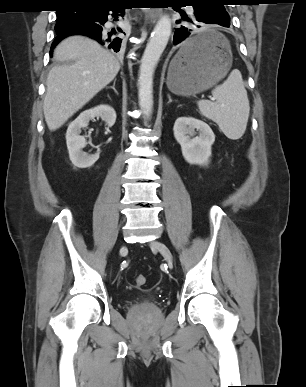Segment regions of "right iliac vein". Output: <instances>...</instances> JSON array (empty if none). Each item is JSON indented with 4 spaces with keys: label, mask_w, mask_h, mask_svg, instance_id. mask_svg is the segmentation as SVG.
<instances>
[{
    "label": "right iliac vein",
    "mask_w": 306,
    "mask_h": 387,
    "mask_svg": "<svg viewBox=\"0 0 306 387\" xmlns=\"http://www.w3.org/2000/svg\"><path fill=\"white\" fill-rule=\"evenodd\" d=\"M124 250H125V247L123 246V247L121 248L120 252L122 253V252H124Z\"/></svg>",
    "instance_id": "63e3f726"
}]
</instances>
